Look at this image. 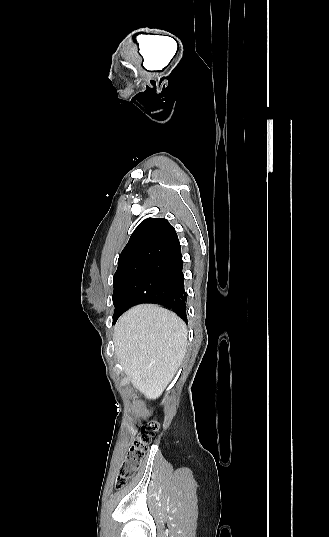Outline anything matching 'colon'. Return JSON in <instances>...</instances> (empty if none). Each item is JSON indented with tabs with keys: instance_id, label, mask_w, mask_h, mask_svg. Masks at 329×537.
Wrapping results in <instances>:
<instances>
[{
	"instance_id": "1",
	"label": "colon",
	"mask_w": 329,
	"mask_h": 537,
	"mask_svg": "<svg viewBox=\"0 0 329 537\" xmlns=\"http://www.w3.org/2000/svg\"><path fill=\"white\" fill-rule=\"evenodd\" d=\"M157 430V424L150 422L141 427L140 433L131 443L123 461L121 462L114 481V488L120 490L136 475V472L144 458L153 434Z\"/></svg>"
}]
</instances>
